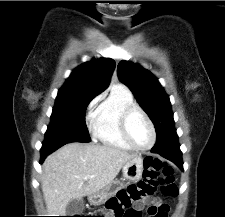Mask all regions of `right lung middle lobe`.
<instances>
[{"label": "right lung middle lobe", "mask_w": 225, "mask_h": 217, "mask_svg": "<svg viewBox=\"0 0 225 217\" xmlns=\"http://www.w3.org/2000/svg\"><path fill=\"white\" fill-rule=\"evenodd\" d=\"M93 98L94 96L58 95L44 142H90L85 111Z\"/></svg>", "instance_id": "1"}]
</instances>
